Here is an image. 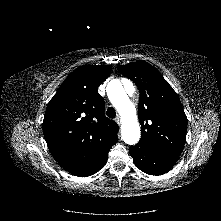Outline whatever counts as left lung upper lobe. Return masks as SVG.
<instances>
[{
    "label": "left lung upper lobe",
    "instance_id": "left-lung-upper-lobe-1",
    "mask_svg": "<svg viewBox=\"0 0 221 221\" xmlns=\"http://www.w3.org/2000/svg\"><path fill=\"white\" fill-rule=\"evenodd\" d=\"M117 68L137 85L140 92L138 116L142 135L139 143L179 156L186 141L187 118L173 88L146 61L118 65Z\"/></svg>",
    "mask_w": 221,
    "mask_h": 221
}]
</instances>
